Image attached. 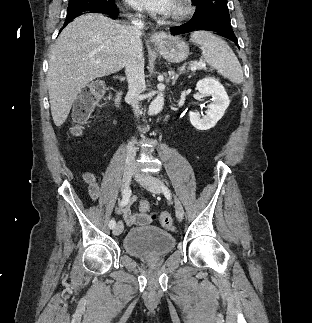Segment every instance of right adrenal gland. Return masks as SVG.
I'll return each mask as SVG.
<instances>
[{
    "mask_svg": "<svg viewBox=\"0 0 312 323\" xmlns=\"http://www.w3.org/2000/svg\"><path fill=\"white\" fill-rule=\"evenodd\" d=\"M121 82H123V80H125V78H120Z\"/></svg>",
    "mask_w": 312,
    "mask_h": 323,
    "instance_id": "right-adrenal-gland-1",
    "label": "right adrenal gland"
}]
</instances>
